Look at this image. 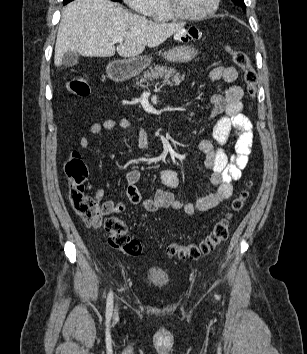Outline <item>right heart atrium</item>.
Listing matches in <instances>:
<instances>
[{
  "label": "right heart atrium",
  "instance_id": "obj_1",
  "mask_svg": "<svg viewBox=\"0 0 307 354\" xmlns=\"http://www.w3.org/2000/svg\"><path fill=\"white\" fill-rule=\"evenodd\" d=\"M123 1L132 10L143 15H149L155 2V0H123Z\"/></svg>",
  "mask_w": 307,
  "mask_h": 354
}]
</instances>
